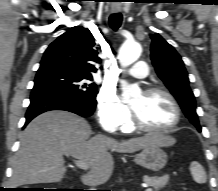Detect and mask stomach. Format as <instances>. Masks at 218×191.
<instances>
[{
  "label": "stomach",
  "instance_id": "0dacf381",
  "mask_svg": "<svg viewBox=\"0 0 218 191\" xmlns=\"http://www.w3.org/2000/svg\"><path fill=\"white\" fill-rule=\"evenodd\" d=\"M134 161L136 164L146 169L157 172L167 164L168 156L160 146L152 145L144 148L139 154H137Z\"/></svg>",
  "mask_w": 218,
  "mask_h": 191
}]
</instances>
